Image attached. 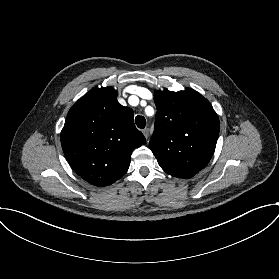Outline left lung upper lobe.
<instances>
[{
	"mask_svg": "<svg viewBox=\"0 0 279 279\" xmlns=\"http://www.w3.org/2000/svg\"><path fill=\"white\" fill-rule=\"evenodd\" d=\"M157 108L149 148L161 168L178 178H191L210 161L219 135L213 107L193 89L154 93Z\"/></svg>",
	"mask_w": 279,
	"mask_h": 279,
	"instance_id": "left-lung-upper-lobe-1",
	"label": "left lung upper lobe"
}]
</instances>
